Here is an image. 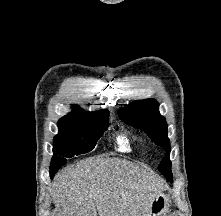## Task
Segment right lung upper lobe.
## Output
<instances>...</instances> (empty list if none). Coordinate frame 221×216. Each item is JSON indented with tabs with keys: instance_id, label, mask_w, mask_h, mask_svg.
Masks as SVG:
<instances>
[{
	"instance_id": "obj_1",
	"label": "right lung upper lobe",
	"mask_w": 221,
	"mask_h": 216,
	"mask_svg": "<svg viewBox=\"0 0 221 216\" xmlns=\"http://www.w3.org/2000/svg\"><path fill=\"white\" fill-rule=\"evenodd\" d=\"M105 114H107L106 110H101V111H97V112H87V111L80 109L77 106H74L72 113L67 114L66 116L62 117L58 121V126L65 125L69 122H72V121L80 119V118L102 116Z\"/></svg>"
}]
</instances>
